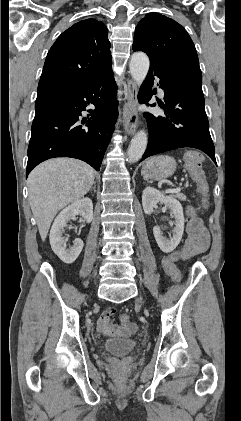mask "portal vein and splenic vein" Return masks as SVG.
<instances>
[{
  "instance_id": "obj_1",
  "label": "portal vein and splenic vein",
  "mask_w": 241,
  "mask_h": 421,
  "mask_svg": "<svg viewBox=\"0 0 241 421\" xmlns=\"http://www.w3.org/2000/svg\"><path fill=\"white\" fill-rule=\"evenodd\" d=\"M181 191L180 187L173 188V189H167L166 193H179Z\"/></svg>"
}]
</instances>
